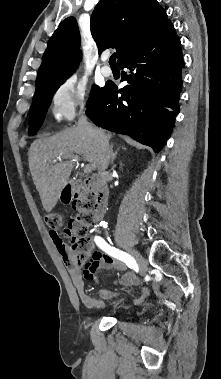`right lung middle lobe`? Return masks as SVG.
<instances>
[{
	"instance_id": "1",
	"label": "right lung middle lobe",
	"mask_w": 221,
	"mask_h": 379,
	"mask_svg": "<svg viewBox=\"0 0 221 379\" xmlns=\"http://www.w3.org/2000/svg\"><path fill=\"white\" fill-rule=\"evenodd\" d=\"M66 80L61 79L58 80L46 87H43L35 92L34 98H33V104L30 108V126H29V134H36L40 126L42 125V122L44 120L47 108L49 107L51 103V97L55 94L59 86L64 83ZM103 88H98L97 86H94L88 103L87 107H89L99 96Z\"/></svg>"
}]
</instances>
